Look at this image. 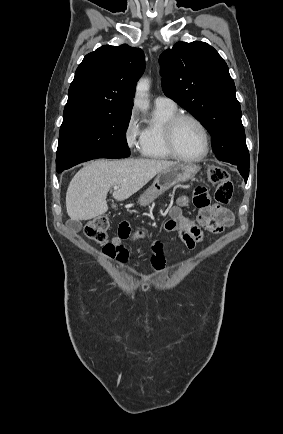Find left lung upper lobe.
Returning <instances> with one entry per match:
<instances>
[{
    "mask_svg": "<svg viewBox=\"0 0 283 434\" xmlns=\"http://www.w3.org/2000/svg\"><path fill=\"white\" fill-rule=\"evenodd\" d=\"M159 64L164 94L208 130L217 159L249 165L235 84L218 52L205 42H178L160 55Z\"/></svg>",
    "mask_w": 283,
    "mask_h": 434,
    "instance_id": "left-lung-upper-lobe-1",
    "label": "left lung upper lobe"
}]
</instances>
